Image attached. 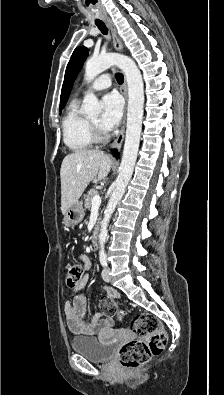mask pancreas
Instances as JSON below:
<instances>
[{"label":"pancreas","instance_id":"obj_1","mask_svg":"<svg viewBox=\"0 0 224 395\" xmlns=\"http://www.w3.org/2000/svg\"><path fill=\"white\" fill-rule=\"evenodd\" d=\"M98 195V191L96 189H90L85 197V207L90 209L92 206V199L94 196Z\"/></svg>","mask_w":224,"mask_h":395}]
</instances>
